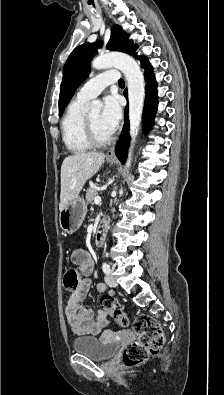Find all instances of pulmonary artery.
<instances>
[{"mask_svg":"<svg viewBox=\"0 0 224 395\" xmlns=\"http://www.w3.org/2000/svg\"><path fill=\"white\" fill-rule=\"evenodd\" d=\"M119 79L116 70H107L88 80L78 91L77 97L82 100H91L97 97L108 85Z\"/></svg>","mask_w":224,"mask_h":395,"instance_id":"e3ab8cb5","label":"pulmonary artery"}]
</instances>
